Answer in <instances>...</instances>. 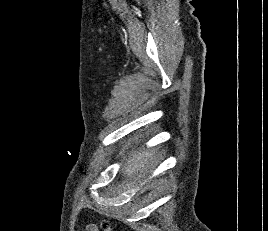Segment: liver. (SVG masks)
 <instances>
[{
    "label": "liver",
    "mask_w": 268,
    "mask_h": 231,
    "mask_svg": "<svg viewBox=\"0 0 268 231\" xmlns=\"http://www.w3.org/2000/svg\"><path fill=\"white\" fill-rule=\"evenodd\" d=\"M125 162L122 171L125 175L137 176L143 178L145 174L151 172L159 163L157 152L154 149L134 150L130 152L128 157H124Z\"/></svg>",
    "instance_id": "6515ba94"
}]
</instances>
